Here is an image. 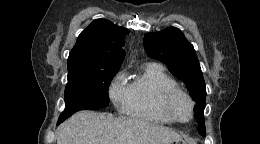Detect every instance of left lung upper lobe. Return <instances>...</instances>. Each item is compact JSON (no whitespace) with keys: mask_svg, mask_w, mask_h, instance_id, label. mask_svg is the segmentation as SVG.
Returning a JSON list of instances; mask_svg holds the SVG:
<instances>
[{"mask_svg":"<svg viewBox=\"0 0 260 144\" xmlns=\"http://www.w3.org/2000/svg\"><path fill=\"white\" fill-rule=\"evenodd\" d=\"M143 43L149 57L166 64L170 72L187 85L190 95L196 101L194 111L199 123V134L205 136L203 113L206 86L193 45L185 38L181 30L175 27L146 33Z\"/></svg>","mask_w":260,"mask_h":144,"instance_id":"left-lung-upper-lobe-1","label":"left lung upper lobe"}]
</instances>
